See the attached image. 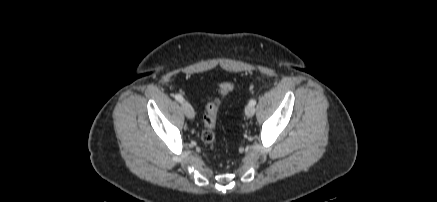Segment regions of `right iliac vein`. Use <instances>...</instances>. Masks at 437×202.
<instances>
[{"instance_id": "63e3f726", "label": "right iliac vein", "mask_w": 437, "mask_h": 202, "mask_svg": "<svg viewBox=\"0 0 437 202\" xmlns=\"http://www.w3.org/2000/svg\"><path fill=\"white\" fill-rule=\"evenodd\" d=\"M182 109L188 119H193L195 116L193 107L188 102L182 103Z\"/></svg>"}]
</instances>
